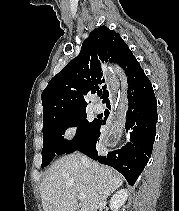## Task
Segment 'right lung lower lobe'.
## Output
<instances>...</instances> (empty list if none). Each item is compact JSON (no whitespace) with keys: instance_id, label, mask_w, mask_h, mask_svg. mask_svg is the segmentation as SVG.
Wrapping results in <instances>:
<instances>
[{"instance_id":"1","label":"right lung lower lobe","mask_w":179,"mask_h":211,"mask_svg":"<svg viewBox=\"0 0 179 211\" xmlns=\"http://www.w3.org/2000/svg\"><path fill=\"white\" fill-rule=\"evenodd\" d=\"M105 103L110 108L109 99ZM156 106L152 85L144 71L140 70L127 86L125 128L130 136L129 142L108 154L98 153L96 143L101 134L100 127L105 124V121L98 120L89 139L75 151L112 166L124 175L130 185H134L152 153L157 123Z\"/></svg>"}]
</instances>
